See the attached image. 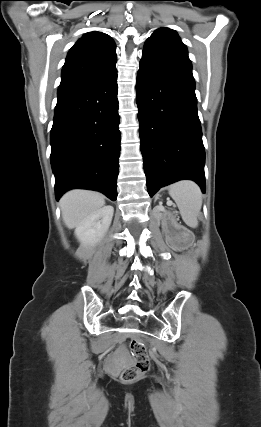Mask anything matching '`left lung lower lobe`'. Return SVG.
<instances>
[{
    "label": "left lung lower lobe",
    "instance_id": "obj_1",
    "mask_svg": "<svg viewBox=\"0 0 261 427\" xmlns=\"http://www.w3.org/2000/svg\"><path fill=\"white\" fill-rule=\"evenodd\" d=\"M147 190L182 179L205 193V151L192 68L143 53L136 83Z\"/></svg>",
    "mask_w": 261,
    "mask_h": 427
}]
</instances>
